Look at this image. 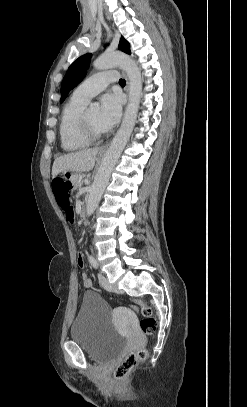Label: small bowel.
Masks as SVG:
<instances>
[{
  "label": "small bowel",
  "mask_w": 247,
  "mask_h": 407,
  "mask_svg": "<svg viewBox=\"0 0 247 407\" xmlns=\"http://www.w3.org/2000/svg\"><path fill=\"white\" fill-rule=\"evenodd\" d=\"M64 215H65V218L68 223H70L72 225L75 223V212H74L73 207H71V209L68 210L67 212H64ZM77 264L79 267H83L84 260H83L82 256H78ZM82 281H83V285L85 287H90L92 285L91 280L86 276V274H82Z\"/></svg>",
  "instance_id": "1"
}]
</instances>
